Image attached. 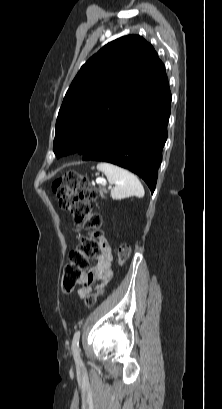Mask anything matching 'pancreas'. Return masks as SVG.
I'll use <instances>...</instances> for the list:
<instances>
[{"label": "pancreas", "instance_id": "obj_1", "mask_svg": "<svg viewBox=\"0 0 222 409\" xmlns=\"http://www.w3.org/2000/svg\"><path fill=\"white\" fill-rule=\"evenodd\" d=\"M99 193L102 198H105V193H107V190L105 188H100Z\"/></svg>", "mask_w": 222, "mask_h": 409}]
</instances>
